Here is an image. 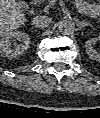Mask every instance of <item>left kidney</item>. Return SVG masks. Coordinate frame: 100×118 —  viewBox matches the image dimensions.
Returning a JSON list of instances; mask_svg holds the SVG:
<instances>
[{"label":"left kidney","mask_w":100,"mask_h":118,"mask_svg":"<svg viewBox=\"0 0 100 118\" xmlns=\"http://www.w3.org/2000/svg\"><path fill=\"white\" fill-rule=\"evenodd\" d=\"M98 41L97 38H91L86 41V52L92 60L100 61V53L93 48V45Z\"/></svg>","instance_id":"left-kidney-1"}]
</instances>
